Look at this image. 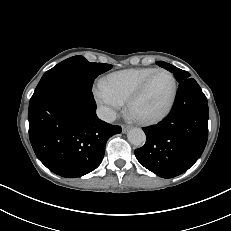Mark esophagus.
Listing matches in <instances>:
<instances>
[{"instance_id": "1", "label": "esophagus", "mask_w": 231, "mask_h": 231, "mask_svg": "<svg viewBox=\"0 0 231 231\" xmlns=\"http://www.w3.org/2000/svg\"><path fill=\"white\" fill-rule=\"evenodd\" d=\"M129 129H130L129 126H126V125H123V126H122V132H123V133H127Z\"/></svg>"}]
</instances>
